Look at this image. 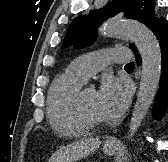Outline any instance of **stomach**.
Wrapping results in <instances>:
<instances>
[{
	"instance_id": "1",
	"label": "stomach",
	"mask_w": 168,
	"mask_h": 162,
	"mask_svg": "<svg viewBox=\"0 0 168 162\" xmlns=\"http://www.w3.org/2000/svg\"><path fill=\"white\" fill-rule=\"evenodd\" d=\"M103 151L106 155H113L116 153L117 147L116 146L109 147V146L104 145Z\"/></svg>"
}]
</instances>
